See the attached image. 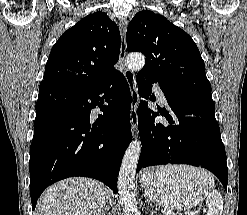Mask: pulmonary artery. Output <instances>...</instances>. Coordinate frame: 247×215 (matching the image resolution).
<instances>
[{
  "instance_id": "obj_1",
  "label": "pulmonary artery",
  "mask_w": 247,
  "mask_h": 215,
  "mask_svg": "<svg viewBox=\"0 0 247 215\" xmlns=\"http://www.w3.org/2000/svg\"><path fill=\"white\" fill-rule=\"evenodd\" d=\"M153 91L155 92V94L157 95L158 99L162 102V103H166V98L164 96V93L162 91V89L159 87V85L155 84L153 86Z\"/></svg>"
}]
</instances>
